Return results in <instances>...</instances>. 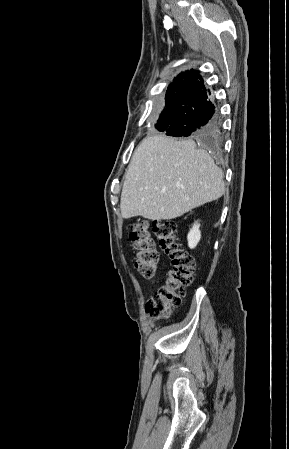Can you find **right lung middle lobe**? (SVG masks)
Returning <instances> with one entry per match:
<instances>
[{"label":"right lung middle lobe","mask_w":289,"mask_h":449,"mask_svg":"<svg viewBox=\"0 0 289 449\" xmlns=\"http://www.w3.org/2000/svg\"><path fill=\"white\" fill-rule=\"evenodd\" d=\"M165 105H166V107L163 110V112L161 113L160 118L158 119L157 124H156V128L159 131H164L169 126L171 115H172L170 105L168 102L167 93H166V97H165Z\"/></svg>","instance_id":"right-lung-middle-lobe-1"}]
</instances>
